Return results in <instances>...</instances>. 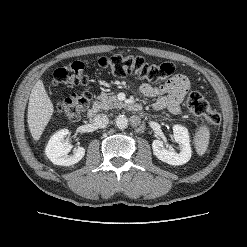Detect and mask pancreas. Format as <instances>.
I'll list each match as a JSON object with an SVG mask.
<instances>
[{"mask_svg": "<svg viewBox=\"0 0 247 247\" xmlns=\"http://www.w3.org/2000/svg\"><path fill=\"white\" fill-rule=\"evenodd\" d=\"M99 102H96L102 110H109L113 108H122L124 103L119 101L115 95L111 93H102L98 96Z\"/></svg>", "mask_w": 247, "mask_h": 247, "instance_id": "1", "label": "pancreas"}]
</instances>
